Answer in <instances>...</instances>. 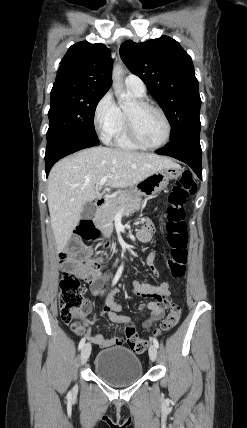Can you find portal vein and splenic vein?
Here are the masks:
<instances>
[{"mask_svg":"<svg viewBox=\"0 0 247 428\" xmlns=\"http://www.w3.org/2000/svg\"><path fill=\"white\" fill-rule=\"evenodd\" d=\"M108 178H109V176H108V175H107V176L102 177V178H101V180L99 181V186H100V187H101V186H103V185L107 182Z\"/></svg>","mask_w":247,"mask_h":428,"instance_id":"1","label":"portal vein and splenic vein"}]
</instances>
